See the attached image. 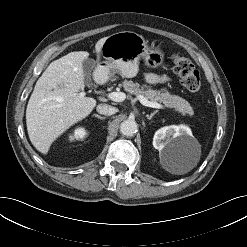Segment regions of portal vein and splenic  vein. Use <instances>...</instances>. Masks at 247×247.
Here are the masks:
<instances>
[{
  "mask_svg": "<svg viewBox=\"0 0 247 247\" xmlns=\"http://www.w3.org/2000/svg\"><path fill=\"white\" fill-rule=\"evenodd\" d=\"M79 95L83 97L85 96V93L80 92ZM108 98L115 102H122L126 99V94L123 92H111L108 94ZM137 98L140 101V103L144 106L157 108V109L163 108V105H161L160 103L149 101L142 95H138Z\"/></svg>",
  "mask_w": 247,
  "mask_h": 247,
  "instance_id": "portal-vein-and-splenic-vein-1",
  "label": "portal vein and splenic vein"
}]
</instances>
